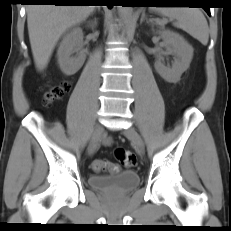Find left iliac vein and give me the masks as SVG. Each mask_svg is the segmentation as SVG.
Returning <instances> with one entry per match:
<instances>
[{
    "label": "left iliac vein",
    "mask_w": 231,
    "mask_h": 231,
    "mask_svg": "<svg viewBox=\"0 0 231 231\" xmlns=\"http://www.w3.org/2000/svg\"><path fill=\"white\" fill-rule=\"evenodd\" d=\"M123 134L134 143L135 147L137 148V150L140 153H143L144 142H143L141 136L139 135V133L133 127H129L127 129H125L123 131Z\"/></svg>",
    "instance_id": "4c4485c4"
}]
</instances>
